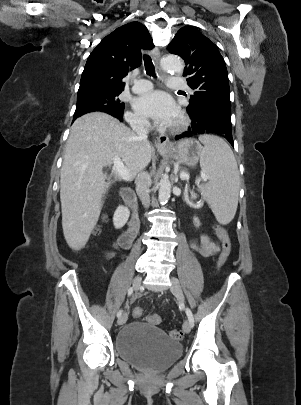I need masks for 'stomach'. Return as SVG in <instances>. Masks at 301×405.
<instances>
[{
	"instance_id": "obj_1",
	"label": "stomach",
	"mask_w": 301,
	"mask_h": 405,
	"mask_svg": "<svg viewBox=\"0 0 301 405\" xmlns=\"http://www.w3.org/2000/svg\"><path fill=\"white\" fill-rule=\"evenodd\" d=\"M202 150L201 144L195 139H185L170 145L168 148L158 149L161 155L168 156L188 166H194L198 163Z\"/></svg>"
}]
</instances>
